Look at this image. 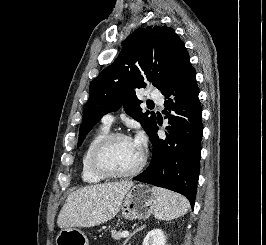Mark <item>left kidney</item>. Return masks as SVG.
<instances>
[{
    "mask_svg": "<svg viewBox=\"0 0 266 245\" xmlns=\"http://www.w3.org/2000/svg\"><path fill=\"white\" fill-rule=\"evenodd\" d=\"M166 239L161 229H153L147 233L142 245H165Z\"/></svg>",
    "mask_w": 266,
    "mask_h": 245,
    "instance_id": "5707ae66",
    "label": "left kidney"
}]
</instances>
